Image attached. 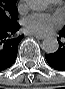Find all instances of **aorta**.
Returning a JSON list of instances; mask_svg holds the SVG:
<instances>
[{
	"instance_id": "aorta-1",
	"label": "aorta",
	"mask_w": 65,
	"mask_h": 89,
	"mask_svg": "<svg viewBox=\"0 0 65 89\" xmlns=\"http://www.w3.org/2000/svg\"><path fill=\"white\" fill-rule=\"evenodd\" d=\"M29 7L36 12H44L49 7V2L47 0H31L29 2ZM59 48V43L56 38L48 37L43 40L42 49L48 53H55Z\"/></svg>"
}]
</instances>
